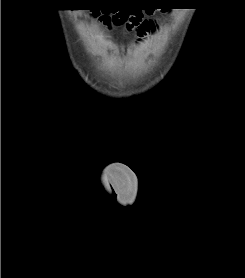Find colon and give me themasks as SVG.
Masks as SVG:
<instances>
[{
  "instance_id": "5ec220e1",
  "label": "colon",
  "mask_w": 245,
  "mask_h": 278,
  "mask_svg": "<svg viewBox=\"0 0 245 278\" xmlns=\"http://www.w3.org/2000/svg\"><path fill=\"white\" fill-rule=\"evenodd\" d=\"M101 21L107 27L124 26L127 30H136L139 36L155 30V26L151 22L145 21L143 14L137 11L131 14L105 15Z\"/></svg>"
}]
</instances>
